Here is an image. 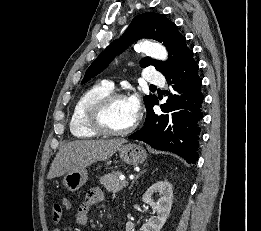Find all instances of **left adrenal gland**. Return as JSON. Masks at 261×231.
<instances>
[{
    "label": "left adrenal gland",
    "instance_id": "left-adrenal-gland-1",
    "mask_svg": "<svg viewBox=\"0 0 261 231\" xmlns=\"http://www.w3.org/2000/svg\"><path fill=\"white\" fill-rule=\"evenodd\" d=\"M144 172H146V170L141 171V172L136 176V178L132 181V184H131V186L129 187V189H131V188L133 187L134 182H135L142 174H144Z\"/></svg>",
    "mask_w": 261,
    "mask_h": 231
}]
</instances>
